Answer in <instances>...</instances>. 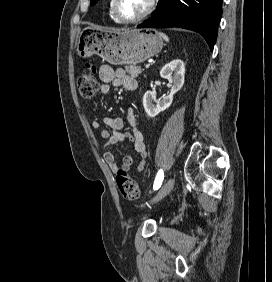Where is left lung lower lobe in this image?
I'll list each match as a JSON object with an SVG mask.
<instances>
[{"label":"left lung lower lobe","mask_w":272,"mask_h":282,"mask_svg":"<svg viewBox=\"0 0 272 282\" xmlns=\"http://www.w3.org/2000/svg\"><path fill=\"white\" fill-rule=\"evenodd\" d=\"M223 0H159L156 12L138 28L180 27L200 33L213 49Z\"/></svg>","instance_id":"0a47b994"}]
</instances>
